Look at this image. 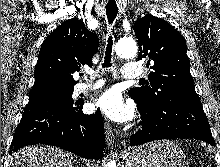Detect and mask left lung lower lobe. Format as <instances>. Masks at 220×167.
<instances>
[{"label": "left lung lower lobe", "mask_w": 220, "mask_h": 167, "mask_svg": "<svg viewBox=\"0 0 220 167\" xmlns=\"http://www.w3.org/2000/svg\"><path fill=\"white\" fill-rule=\"evenodd\" d=\"M131 97L138 103L143 125L142 130L131 136V146L172 138H194L214 145L199 98L170 94L158 104L147 106Z\"/></svg>", "instance_id": "left-lung-lower-lobe-1"}]
</instances>
